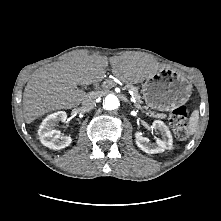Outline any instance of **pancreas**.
<instances>
[{
	"label": "pancreas",
	"instance_id": "1",
	"mask_svg": "<svg viewBox=\"0 0 221 221\" xmlns=\"http://www.w3.org/2000/svg\"><path fill=\"white\" fill-rule=\"evenodd\" d=\"M125 89L131 90L133 92V96H134L135 100L137 101V105H140L143 102L142 97L139 94L137 87H135L131 84H128L127 86H125ZM143 108L148 109L146 106H144ZM147 114L151 117L164 118L163 114H159V113L156 114L153 111H149Z\"/></svg>",
	"mask_w": 221,
	"mask_h": 221
}]
</instances>
